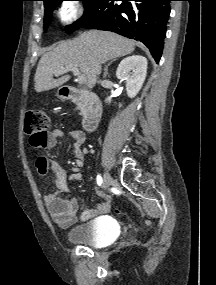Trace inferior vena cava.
<instances>
[{"label":"inferior vena cava","instance_id":"obj_1","mask_svg":"<svg viewBox=\"0 0 216 285\" xmlns=\"http://www.w3.org/2000/svg\"><path fill=\"white\" fill-rule=\"evenodd\" d=\"M100 70H101L100 64H99V63H96V65H95V71H96V74H97V75H99Z\"/></svg>","mask_w":216,"mask_h":285}]
</instances>
